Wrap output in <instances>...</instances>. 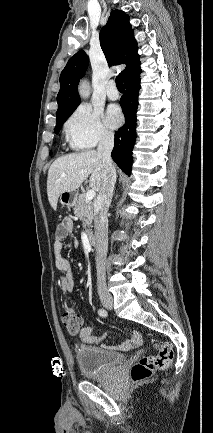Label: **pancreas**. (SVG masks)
<instances>
[{
	"instance_id": "pancreas-1",
	"label": "pancreas",
	"mask_w": 213,
	"mask_h": 433,
	"mask_svg": "<svg viewBox=\"0 0 213 433\" xmlns=\"http://www.w3.org/2000/svg\"><path fill=\"white\" fill-rule=\"evenodd\" d=\"M75 215L82 221L83 228H85L89 237L92 236V220L94 218L93 207L90 201L85 200V196L76 198L74 203Z\"/></svg>"
}]
</instances>
